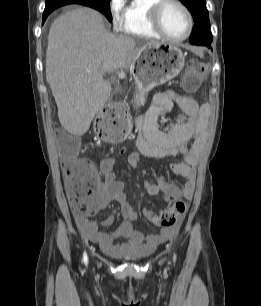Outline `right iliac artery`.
Instances as JSON below:
<instances>
[{"label":"right iliac artery","mask_w":261,"mask_h":306,"mask_svg":"<svg viewBox=\"0 0 261 306\" xmlns=\"http://www.w3.org/2000/svg\"><path fill=\"white\" fill-rule=\"evenodd\" d=\"M83 260H84V262L87 264V262H88V258H87V254H86V253H84Z\"/></svg>","instance_id":"right-iliac-artery-1"}]
</instances>
